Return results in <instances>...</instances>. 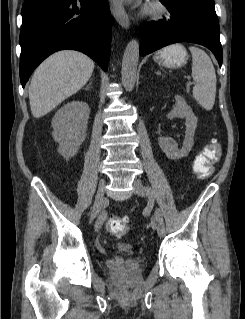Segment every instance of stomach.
Masks as SVG:
<instances>
[{"label": "stomach", "mask_w": 245, "mask_h": 319, "mask_svg": "<svg viewBox=\"0 0 245 319\" xmlns=\"http://www.w3.org/2000/svg\"><path fill=\"white\" fill-rule=\"evenodd\" d=\"M154 59L162 66L178 68L186 64L188 54L182 45L173 44L158 51Z\"/></svg>", "instance_id": "0dacf381"}]
</instances>
